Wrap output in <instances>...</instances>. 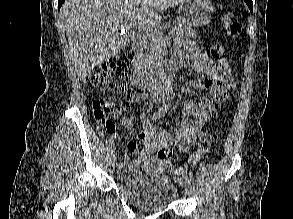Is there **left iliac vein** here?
I'll return each mask as SVG.
<instances>
[{
  "mask_svg": "<svg viewBox=\"0 0 293 219\" xmlns=\"http://www.w3.org/2000/svg\"><path fill=\"white\" fill-rule=\"evenodd\" d=\"M190 193V182L188 180H186L185 182V194H189Z\"/></svg>",
  "mask_w": 293,
  "mask_h": 219,
  "instance_id": "left-iliac-vein-1",
  "label": "left iliac vein"
}]
</instances>
